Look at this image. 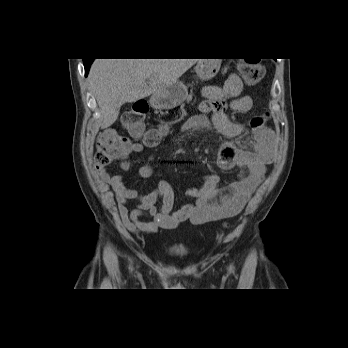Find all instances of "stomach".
I'll list each match as a JSON object with an SVG mask.
<instances>
[{"mask_svg": "<svg viewBox=\"0 0 348 348\" xmlns=\"http://www.w3.org/2000/svg\"><path fill=\"white\" fill-rule=\"evenodd\" d=\"M219 59H199L195 72L200 80L212 79L219 71ZM188 95V88L180 81L168 86L151 97V104L156 109H172L180 105Z\"/></svg>", "mask_w": 348, "mask_h": 348, "instance_id": "0dacf381", "label": "stomach"}]
</instances>
